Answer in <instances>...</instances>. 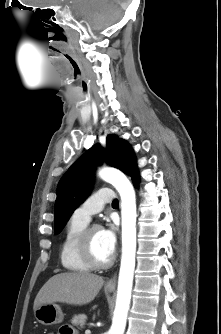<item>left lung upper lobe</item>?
<instances>
[{"label":"left lung upper lobe","mask_w":221,"mask_h":334,"mask_svg":"<svg viewBox=\"0 0 221 334\" xmlns=\"http://www.w3.org/2000/svg\"><path fill=\"white\" fill-rule=\"evenodd\" d=\"M106 145L108 164L133 177L138 171L130 145L115 135L107 136ZM105 157V151L100 146H93L70 166L59 181L54 211L55 234L61 232L73 211L89 195L93 170Z\"/></svg>","instance_id":"left-lung-upper-lobe-1"}]
</instances>
